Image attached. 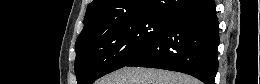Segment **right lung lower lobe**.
Masks as SVG:
<instances>
[{
  "label": "right lung lower lobe",
  "mask_w": 260,
  "mask_h": 84,
  "mask_svg": "<svg viewBox=\"0 0 260 84\" xmlns=\"http://www.w3.org/2000/svg\"><path fill=\"white\" fill-rule=\"evenodd\" d=\"M219 25L213 0H196L170 17L156 40L126 66L178 71L215 84Z\"/></svg>",
  "instance_id": "1"
}]
</instances>
